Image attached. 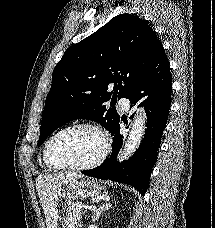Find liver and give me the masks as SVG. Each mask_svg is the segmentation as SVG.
Here are the masks:
<instances>
[{"instance_id": "1", "label": "liver", "mask_w": 215, "mask_h": 228, "mask_svg": "<svg viewBox=\"0 0 215 228\" xmlns=\"http://www.w3.org/2000/svg\"><path fill=\"white\" fill-rule=\"evenodd\" d=\"M78 178H83V176H79L76 172H65V174L61 172V174H44L35 180L47 228H58L59 212L57 200L54 196L59 184L76 182Z\"/></svg>"}]
</instances>
